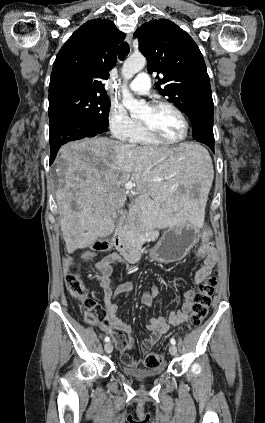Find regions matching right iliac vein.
I'll list each match as a JSON object with an SVG mask.
<instances>
[{"label": "right iliac vein", "instance_id": "obj_1", "mask_svg": "<svg viewBox=\"0 0 265 423\" xmlns=\"http://www.w3.org/2000/svg\"><path fill=\"white\" fill-rule=\"evenodd\" d=\"M105 352L110 354L113 351V345L111 342H108L104 346Z\"/></svg>", "mask_w": 265, "mask_h": 423}]
</instances>
